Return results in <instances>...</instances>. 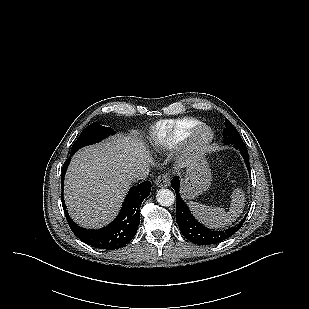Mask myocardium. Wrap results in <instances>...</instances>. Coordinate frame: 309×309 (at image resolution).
<instances>
[{
	"mask_svg": "<svg viewBox=\"0 0 309 309\" xmlns=\"http://www.w3.org/2000/svg\"><path fill=\"white\" fill-rule=\"evenodd\" d=\"M205 133V134H204ZM214 138L212 128L206 124H199L190 133L186 151L188 155H193L209 147Z\"/></svg>",
	"mask_w": 309,
	"mask_h": 309,
	"instance_id": "f54148a6",
	"label": "myocardium"
}]
</instances>
